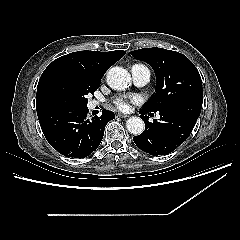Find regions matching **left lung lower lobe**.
<instances>
[{"instance_id":"1","label":"left lung lower lobe","mask_w":240,"mask_h":240,"mask_svg":"<svg viewBox=\"0 0 240 240\" xmlns=\"http://www.w3.org/2000/svg\"><path fill=\"white\" fill-rule=\"evenodd\" d=\"M203 97L185 99L173 103L159 111L160 119L153 123L148 116H141L145 122V131L134 136L135 144L150 155H165L180 146L192 132L200 115ZM150 111L142 108L141 114Z\"/></svg>"}]
</instances>
